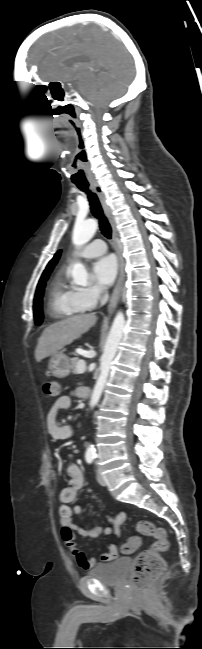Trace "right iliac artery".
Wrapping results in <instances>:
<instances>
[{"label": "right iliac artery", "instance_id": "1", "mask_svg": "<svg viewBox=\"0 0 202 649\" xmlns=\"http://www.w3.org/2000/svg\"><path fill=\"white\" fill-rule=\"evenodd\" d=\"M93 459H94V456H92V455H87V456H86V461H87V463H89V464H91V463L93 462Z\"/></svg>", "mask_w": 202, "mask_h": 649}]
</instances>
